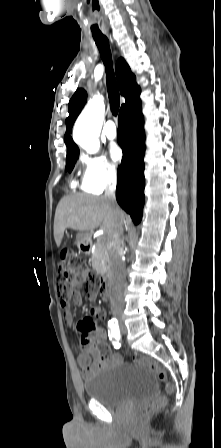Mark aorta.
I'll return each instance as SVG.
<instances>
[{
    "mask_svg": "<svg viewBox=\"0 0 221 448\" xmlns=\"http://www.w3.org/2000/svg\"><path fill=\"white\" fill-rule=\"evenodd\" d=\"M104 104L100 99L88 103L76 120L73 129V139L88 153L99 150V135L104 117Z\"/></svg>",
    "mask_w": 221,
    "mask_h": 448,
    "instance_id": "762f6f07",
    "label": "aorta"
}]
</instances>
